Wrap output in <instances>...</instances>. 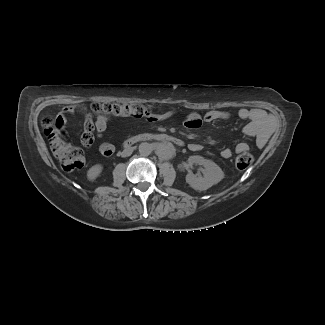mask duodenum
<instances>
[{
  "mask_svg": "<svg viewBox=\"0 0 325 325\" xmlns=\"http://www.w3.org/2000/svg\"><path fill=\"white\" fill-rule=\"evenodd\" d=\"M146 141H156V142H161V143H170L175 146H183L184 142L172 135L166 134V133H145V134H140L136 135L133 137L128 138L124 142V147L128 148L131 146H134L138 143L146 142Z\"/></svg>",
  "mask_w": 325,
  "mask_h": 325,
  "instance_id": "1",
  "label": "duodenum"
}]
</instances>
